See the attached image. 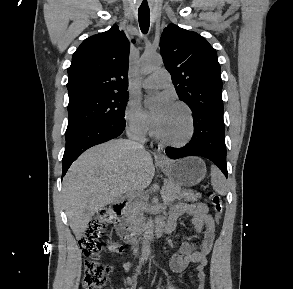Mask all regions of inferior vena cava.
Returning a JSON list of instances; mask_svg holds the SVG:
<instances>
[{
  "label": "inferior vena cava",
  "mask_w": 293,
  "mask_h": 289,
  "mask_svg": "<svg viewBox=\"0 0 293 289\" xmlns=\"http://www.w3.org/2000/svg\"><path fill=\"white\" fill-rule=\"evenodd\" d=\"M127 136L129 138V142L143 148L142 143L144 142L143 132L140 126L130 125L127 128ZM133 231L138 232V227L136 225L133 226Z\"/></svg>",
  "instance_id": "obj_1"
}]
</instances>
